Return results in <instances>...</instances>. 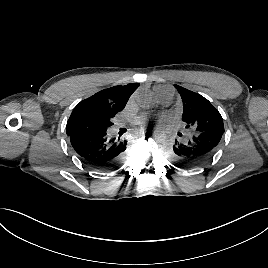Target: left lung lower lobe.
Instances as JSON below:
<instances>
[{"label": "left lung lower lobe", "mask_w": 268, "mask_h": 268, "mask_svg": "<svg viewBox=\"0 0 268 268\" xmlns=\"http://www.w3.org/2000/svg\"><path fill=\"white\" fill-rule=\"evenodd\" d=\"M223 132L194 133L188 141H175L169 155L177 166L197 167L210 160L217 151Z\"/></svg>", "instance_id": "0a47b994"}]
</instances>
